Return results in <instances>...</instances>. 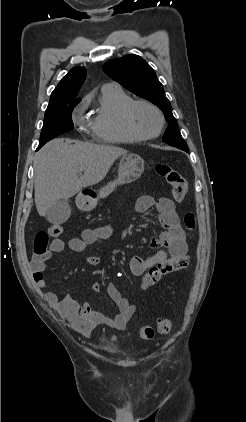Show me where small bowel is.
I'll use <instances>...</instances> for the list:
<instances>
[{
  "mask_svg": "<svg viewBox=\"0 0 246 422\" xmlns=\"http://www.w3.org/2000/svg\"><path fill=\"white\" fill-rule=\"evenodd\" d=\"M153 207L159 213L158 219L164 231L158 238H153L150 241V247L159 249L155 254L145 258L134 256L130 259V270L138 277L167 259L186 257L188 251L186 234L180 224L174 202L167 197L155 199L150 195H142L136 202V209L139 212H146ZM112 234L113 228L111 226L88 228L83 230L79 237L70 239L68 246L72 251L80 253L88 245L107 240ZM64 248L65 243L63 240L54 239L50 243L48 252L44 255H33L31 267L33 269V275L34 273H39L37 277H34V280L40 289L47 287V281L42 272L46 269V263L51 254L62 252ZM86 262L90 266H98L101 263V259L97 256H89ZM89 288L92 291H99L101 284L99 282H92L89 284ZM107 293L119 311L112 317L96 311L89 303L80 305L70 295L59 299L55 292L48 291L45 292L44 298L62 317L69 321L72 328L80 333L89 334L100 325H107L115 330H123L136 313L137 306L132 304L113 284H108Z\"/></svg>",
  "mask_w": 246,
  "mask_h": 422,
  "instance_id": "c3829d8e",
  "label": "small bowel"
}]
</instances>
